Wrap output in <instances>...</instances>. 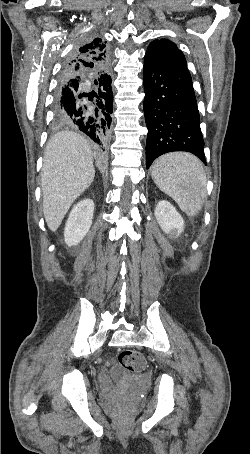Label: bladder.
Instances as JSON below:
<instances>
[{"instance_id":"31cf9c89","label":"bladder","mask_w":250,"mask_h":454,"mask_svg":"<svg viewBox=\"0 0 250 454\" xmlns=\"http://www.w3.org/2000/svg\"><path fill=\"white\" fill-rule=\"evenodd\" d=\"M113 376H114L115 378H122V377H123L122 373H120V372H118V371H114V372H113Z\"/></svg>"}]
</instances>
